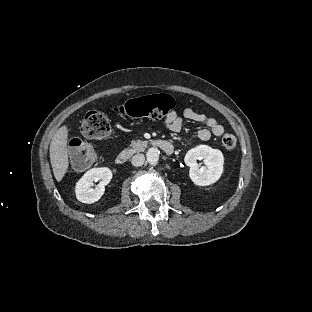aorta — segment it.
<instances>
[{"label":"aorta","mask_w":312,"mask_h":312,"mask_svg":"<svg viewBox=\"0 0 312 312\" xmlns=\"http://www.w3.org/2000/svg\"><path fill=\"white\" fill-rule=\"evenodd\" d=\"M147 161L150 165L156 166L159 162V152L156 148H150L147 152Z\"/></svg>","instance_id":"762f6f07"}]
</instances>
